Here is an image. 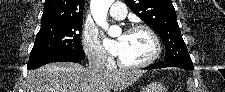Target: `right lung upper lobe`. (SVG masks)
<instances>
[{"label":"right lung upper lobe","instance_id":"obj_1","mask_svg":"<svg viewBox=\"0 0 225 92\" xmlns=\"http://www.w3.org/2000/svg\"><path fill=\"white\" fill-rule=\"evenodd\" d=\"M85 0H45L41 24L83 22Z\"/></svg>","mask_w":225,"mask_h":92}]
</instances>
